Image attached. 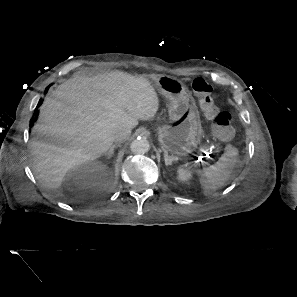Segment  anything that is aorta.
Here are the masks:
<instances>
[{
  "label": "aorta",
  "mask_w": 297,
  "mask_h": 297,
  "mask_svg": "<svg viewBox=\"0 0 297 297\" xmlns=\"http://www.w3.org/2000/svg\"><path fill=\"white\" fill-rule=\"evenodd\" d=\"M149 149H150L149 142L144 138L135 139L130 144L131 152L137 155L145 154L146 152L149 151Z\"/></svg>",
  "instance_id": "1"
}]
</instances>
